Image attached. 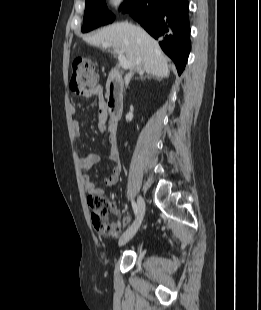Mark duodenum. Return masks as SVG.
<instances>
[{"label": "duodenum", "mask_w": 261, "mask_h": 310, "mask_svg": "<svg viewBox=\"0 0 261 310\" xmlns=\"http://www.w3.org/2000/svg\"><path fill=\"white\" fill-rule=\"evenodd\" d=\"M106 88V101L110 118V128L113 132H116L117 123L121 114L123 98V78L118 69H111Z\"/></svg>", "instance_id": "410a0bca"}]
</instances>
